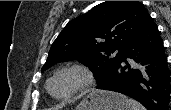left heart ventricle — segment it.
Instances as JSON below:
<instances>
[{
	"label": "left heart ventricle",
	"instance_id": "1",
	"mask_svg": "<svg viewBox=\"0 0 171 110\" xmlns=\"http://www.w3.org/2000/svg\"><path fill=\"white\" fill-rule=\"evenodd\" d=\"M74 74H64L57 77L51 84V91L54 95L60 96L65 94L75 83Z\"/></svg>",
	"mask_w": 171,
	"mask_h": 110
}]
</instances>
